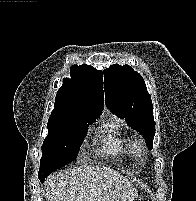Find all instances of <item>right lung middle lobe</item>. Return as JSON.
Wrapping results in <instances>:
<instances>
[{
	"mask_svg": "<svg viewBox=\"0 0 196 201\" xmlns=\"http://www.w3.org/2000/svg\"><path fill=\"white\" fill-rule=\"evenodd\" d=\"M99 116L70 112L48 120V135L42 145L38 177L41 181L74 160L87 134L88 124Z\"/></svg>",
	"mask_w": 196,
	"mask_h": 201,
	"instance_id": "right-lung-middle-lobe-1",
	"label": "right lung middle lobe"
}]
</instances>
